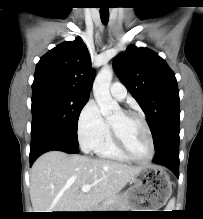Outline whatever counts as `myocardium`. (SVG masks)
<instances>
[{"label": "myocardium", "mask_w": 203, "mask_h": 219, "mask_svg": "<svg viewBox=\"0 0 203 219\" xmlns=\"http://www.w3.org/2000/svg\"><path fill=\"white\" fill-rule=\"evenodd\" d=\"M122 113L126 116H135L141 120V122L143 123V125L146 129L147 135H148L149 145H150V154L146 159H138V158L134 157L130 153V151L128 150V148L124 142V139H123L121 133L119 132V130L110 122V128H111L113 140H114L116 147L128 160H131V161L139 163V164H147V163L151 162L155 156V143H154V138H153L151 128H150L149 123L147 122L145 116L143 114H141L140 112H137L135 110H130V109L122 110Z\"/></svg>", "instance_id": "f54148a6"}]
</instances>
